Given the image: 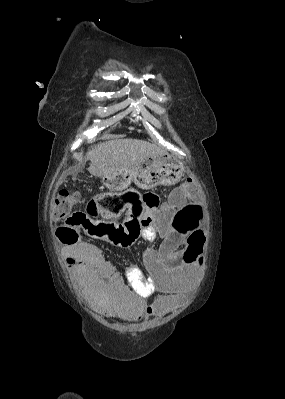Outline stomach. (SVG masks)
<instances>
[{
  "instance_id": "stomach-1",
  "label": "stomach",
  "mask_w": 285,
  "mask_h": 399,
  "mask_svg": "<svg viewBox=\"0 0 285 399\" xmlns=\"http://www.w3.org/2000/svg\"><path fill=\"white\" fill-rule=\"evenodd\" d=\"M184 172V166L166 154L152 156L135 167L118 170L102 177V182L112 192L127 189L134 182L141 189H152L158 185L176 184Z\"/></svg>"
}]
</instances>
